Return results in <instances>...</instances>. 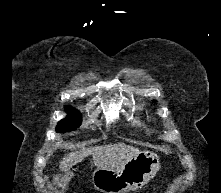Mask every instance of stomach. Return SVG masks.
<instances>
[{
  "instance_id": "0dacf381",
  "label": "stomach",
  "mask_w": 221,
  "mask_h": 193,
  "mask_svg": "<svg viewBox=\"0 0 221 193\" xmlns=\"http://www.w3.org/2000/svg\"><path fill=\"white\" fill-rule=\"evenodd\" d=\"M159 168V157L144 151L119 169L97 168L92 174V183L103 193H127L147 184Z\"/></svg>"
}]
</instances>
